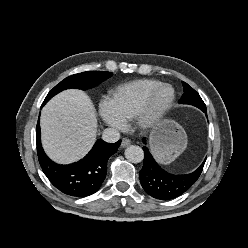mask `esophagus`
<instances>
[{"mask_svg": "<svg viewBox=\"0 0 248 248\" xmlns=\"http://www.w3.org/2000/svg\"><path fill=\"white\" fill-rule=\"evenodd\" d=\"M130 144H131V141L127 138H124V139H122L121 147L125 148V147L129 146Z\"/></svg>", "mask_w": 248, "mask_h": 248, "instance_id": "34e87169", "label": "esophagus"}]
</instances>
